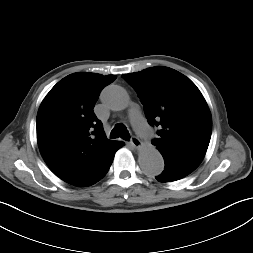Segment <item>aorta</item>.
Here are the masks:
<instances>
[{
	"mask_svg": "<svg viewBox=\"0 0 253 253\" xmlns=\"http://www.w3.org/2000/svg\"><path fill=\"white\" fill-rule=\"evenodd\" d=\"M104 106L112 111L124 110L129 105L127 91L118 85H109L101 93ZM141 169L149 175H159L164 169V160L160 152L153 146H145L138 153Z\"/></svg>",
	"mask_w": 253,
	"mask_h": 253,
	"instance_id": "762f6f07",
	"label": "aorta"
}]
</instances>
